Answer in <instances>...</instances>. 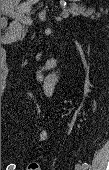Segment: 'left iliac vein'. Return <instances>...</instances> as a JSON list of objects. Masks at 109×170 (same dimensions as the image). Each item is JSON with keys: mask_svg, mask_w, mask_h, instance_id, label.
<instances>
[{"mask_svg": "<svg viewBox=\"0 0 109 170\" xmlns=\"http://www.w3.org/2000/svg\"><path fill=\"white\" fill-rule=\"evenodd\" d=\"M75 170H84L83 166L80 164H76Z\"/></svg>", "mask_w": 109, "mask_h": 170, "instance_id": "1", "label": "left iliac vein"}]
</instances>
